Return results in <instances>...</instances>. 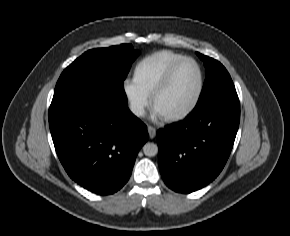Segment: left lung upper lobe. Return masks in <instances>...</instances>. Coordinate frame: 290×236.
I'll return each instance as SVG.
<instances>
[{
  "mask_svg": "<svg viewBox=\"0 0 290 236\" xmlns=\"http://www.w3.org/2000/svg\"><path fill=\"white\" fill-rule=\"evenodd\" d=\"M197 55L204 61L206 79L194 109H199L219 96L235 90L229 73L220 62L200 53Z\"/></svg>",
  "mask_w": 290,
  "mask_h": 236,
  "instance_id": "5c2ea615",
  "label": "left lung upper lobe"
}]
</instances>
